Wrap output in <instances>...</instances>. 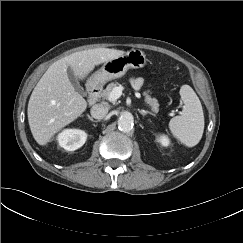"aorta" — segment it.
I'll return each instance as SVG.
<instances>
[{
    "instance_id": "obj_1",
    "label": "aorta",
    "mask_w": 243,
    "mask_h": 243,
    "mask_svg": "<svg viewBox=\"0 0 243 243\" xmlns=\"http://www.w3.org/2000/svg\"><path fill=\"white\" fill-rule=\"evenodd\" d=\"M134 123L133 115L130 112H122L118 117V128L121 131H129Z\"/></svg>"
}]
</instances>
